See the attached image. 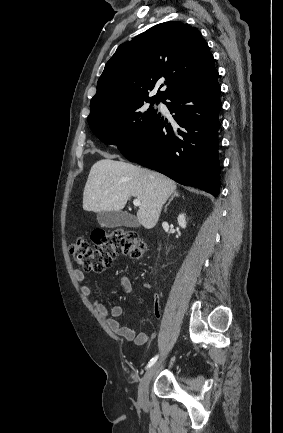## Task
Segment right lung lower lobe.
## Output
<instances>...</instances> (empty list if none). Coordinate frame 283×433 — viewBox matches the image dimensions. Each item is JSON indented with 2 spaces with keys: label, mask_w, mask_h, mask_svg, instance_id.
Segmentation results:
<instances>
[{
  "label": "right lung lower lobe",
  "mask_w": 283,
  "mask_h": 433,
  "mask_svg": "<svg viewBox=\"0 0 283 433\" xmlns=\"http://www.w3.org/2000/svg\"><path fill=\"white\" fill-rule=\"evenodd\" d=\"M221 88L218 75L162 101L175 122L156 114L140 138L122 154L171 179L219 194L218 130Z\"/></svg>",
  "instance_id": "1"
}]
</instances>
